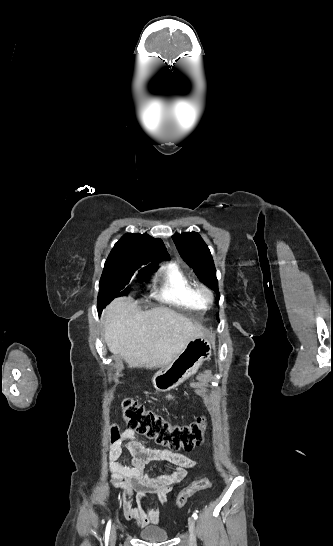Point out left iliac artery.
<instances>
[{"mask_svg":"<svg viewBox=\"0 0 333 546\" xmlns=\"http://www.w3.org/2000/svg\"><path fill=\"white\" fill-rule=\"evenodd\" d=\"M193 518H194L195 520H197V518H198L197 513H195V512L193 513Z\"/></svg>","mask_w":333,"mask_h":546,"instance_id":"left-iliac-artery-1","label":"left iliac artery"}]
</instances>
